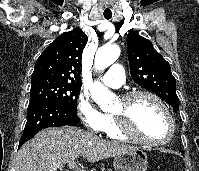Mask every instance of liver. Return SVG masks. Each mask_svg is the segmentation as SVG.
Instances as JSON below:
<instances>
[{
	"mask_svg": "<svg viewBox=\"0 0 199 171\" xmlns=\"http://www.w3.org/2000/svg\"><path fill=\"white\" fill-rule=\"evenodd\" d=\"M137 150L116 142H107L80 128H46L25 143L17 153L14 171H58L61 165L86 157L88 162Z\"/></svg>",
	"mask_w": 199,
	"mask_h": 171,
	"instance_id": "obj_1",
	"label": "liver"
}]
</instances>
